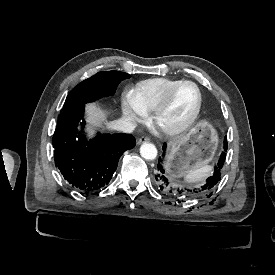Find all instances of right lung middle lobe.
Listing matches in <instances>:
<instances>
[{
	"mask_svg": "<svg viewBox=\"0 0 275 275\" xmlns=\"http://www.w3.org/2000/svg\"><path fill=\"white\" fill-rule=\"evenodd\" d=\"M130 77L129 74L119 71L99 72L74 87L63 107L85 105L104 96L113 95L119 82Z\"/></svg>",
	"mask_w": 275,
	"mask_h": 275,
	"instance_id": "1",
	"label": "right lung middle lobe"
}]
</instances>
